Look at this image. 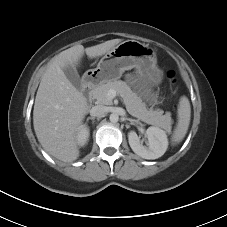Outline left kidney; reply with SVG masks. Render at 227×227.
<instances>
[{"instance_id":"1","label":"left kidney","mask_w":227,"mask_h":227,"mask_svg":"<svg viewBox=\"0 0 227 227\" xmlns=\"http://www.w3.org/2000/svg\"><path fill=\"white\" fill-rule=\"evenodd\" d=\"M148 138L147 147L140 142L135 131L128 133V140L131 149L144 159H157L167 150L168 139L166 132L158 127H149L146 131Z\"/></svg>"}]
</instances>
